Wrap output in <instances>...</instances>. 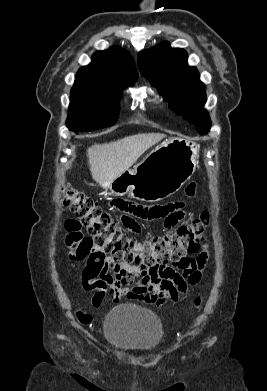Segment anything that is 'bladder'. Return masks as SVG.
Here are the masks:
<instances>
[{
  "instance_id": "obj_1",
  "label": "bladder",
  "mask_w": 267,
  "mask_h": 391,
  "mask_svg": "<svg viewBox=\"0 0 267 391\" xmlns=\"http://www.w3.org/2000/svg\"><path fill=\"white\" fill-rule=\"evenodd\" d=\"M163 336L160 319L152 312L133 304L115 306L104 323V337L116 348L149 352L155 350Z\"/></svg>"
}]
</instances>
